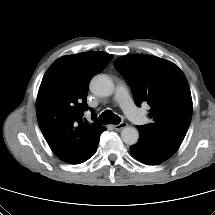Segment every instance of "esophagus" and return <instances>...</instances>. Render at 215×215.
Masks as SVG:
<instances>
[{"label":"esophagus","instance_id":"obj_1","mask_svg":"<svg viewBox=\"0 0 215 215\" xmlns=\"http://www.w3.org/2000/svg\"><path fill=\"white\" fill-rule=\"evenodd\" d=\"M126 126H127V123L122 122V123L113 125V128H114L116 131H120V130H122L123 128H125Z\"/></svg>","mask_w":215,"mask_h":215}]
</instances>
